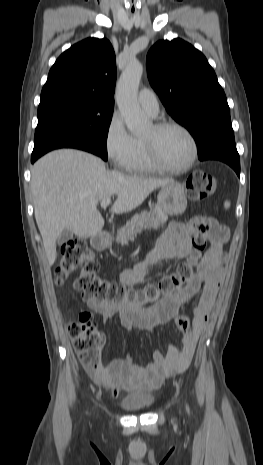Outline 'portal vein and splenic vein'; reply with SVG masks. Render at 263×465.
<instances>
[{
  "label": "portal vein and splenic vein",
  "instance_id": "obj_1",
  "mask_svg": "<svg viewBox=\"0 0 263 465\" xmlns=\"http://www.w3.org/2000/svg\"><path fill=\"white\" fill-rule=\"evenodd\" d=\"M110 202H111V198H107V199L102 200L100 205L102 208L105 209L110 204Z\"/></svg>",
  "mask_w": 263,
  "mask_h": 465
}]
</instances>
